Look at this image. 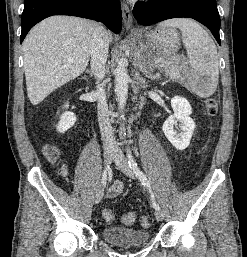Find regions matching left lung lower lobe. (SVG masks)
Wrapping results in <instances>:
<instances>
[{"label":"left lung lower lobe","mask_w":247,"mask_h":257,"mask_svg":"<svg viewBox=\"0 0 247 257\" xmlns=\"http://www.w3.org/2000/svg\"><path fill=\"white\" fill-rule=\"evenodd\" d=\"M133 15L140 24L146 26L171 18L195 19L208 27L221 45L216 0H148L146 3H136Z\"/></svg>","instance_id":"1"}]
</instances>
